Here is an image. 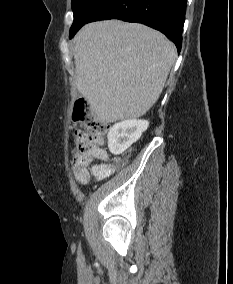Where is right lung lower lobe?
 Masks as SVG:
<instances>
[{
	"mask_svg": "<svg viewBox=\"0 0 233 284\" xmlns=\"http://www.w3.org/2000/svg\"><path fill=\"white\" fill-rule=\"evenodd\" d=\"M186 2L187 0H109L87 23L107 19L142 23L164 33L180 52Z\"/></svg>",
	"mask_w": 233,
	"mask_h": 284,
	"instance_id": "right-lung-lower-lobe-1",
	"label": "right lung lower lobe"
}]
</instances>
